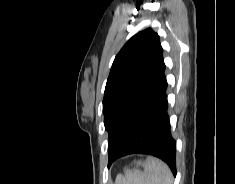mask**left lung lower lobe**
Returning a JSON list of instances; mask_svg holds the SVG:
<instances>
[{
    "label": "left lung lower lobe",
    "mask_w": 235,
    "mask_h": 184,
    "mask_svg": "<svg viewBox=\"0 0 235 184\" xmlns=\"http://www.w3.org/2000/svg\"><path fill=\"white\" fill-rule=\"evenodd\" d=\"M164 71L163 62L152 94L138 114L129 138L119 153L108 162V167L119 157L128 154H148L166 162L176 176V141L170 131Z\"/></svg>",
    "instance_id": "left-lung-lower-lobe-1"
}]
</instances>
